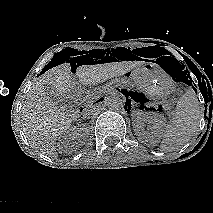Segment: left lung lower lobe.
Masks as SVG:
<instances>
[{
    "mask_svg": "<svg viewBox=\"0 0 213 213\" xmlns=\"http://www.w3.org/2000/svg\"><path fill=\"white\" fill-rule=\"evenodd\" d=\"M122 93L124 94V90H122ZM127 98V96H125Z\"/></svg>",
    "mask_w": 213,
    "mask_h": 213,
    "instance_id": "left-lung-lower-lobe-1",
    "label": "left lung lower lobe"
}]
</instances>
